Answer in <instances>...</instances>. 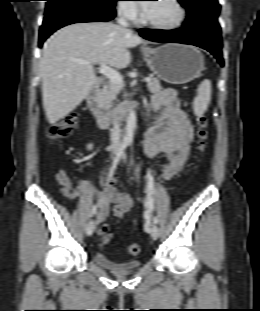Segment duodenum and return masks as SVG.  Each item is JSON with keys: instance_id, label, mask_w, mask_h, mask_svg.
<instances>
[{"instance_id": "obj_1", "label": "duodenum", "mask_w": 260, "mask_h": 311, "mask_svg": "<svg viewBox=\"0 0 260 311\" xmlns=\"http://www.w3.org/2000/svg\"><path fill=\"white\" fill-rule=\"evenodd\" d=\"M103 78L97 79L96 83L88 90L86 95V106L94 120L101 126L111 125L126 120L138 106L136 102L122 104L113 112H105L100 107L99 91Z\"/></svg>"}]
</instances>
